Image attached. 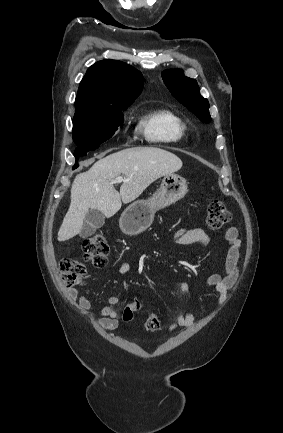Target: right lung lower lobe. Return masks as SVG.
<instances>
[{
    "instance_id": "98d812e1",
    "label": "right lung lower lobe",
    "mask_w": 283,
    "mask_h": 433,
    "mask_svg": "<svg viewBox=\"0 0 283 433\" xmlns=\"http://www.w3.org/2000/svg\"><path fill=\"white\" fill-rule=\"evenodd\" d=\"M78 159H76V164L73 166V169H76L78 167Z\"/></svg>"
}]
</instances>
